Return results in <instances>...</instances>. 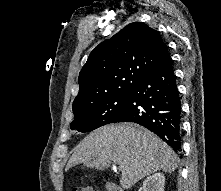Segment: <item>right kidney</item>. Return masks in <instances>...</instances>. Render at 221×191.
Instances as JSON below:
<instances>
[{
	"label": "right kidney",
	"mask_w": 221,
	"mask_h": 191,
	"mask_svg": "<svg viewBox=\"0 0 221 191\" xmlns=\"http://www.w3.org/2000/svg\"><path fill=\"white\" fill-rule=\"evenodd\" d=\"M164 185V174L155 173L144 180L141 191H164Z\"/></svg>",
	"instance_id": "obj_1"
}]
</instances>
